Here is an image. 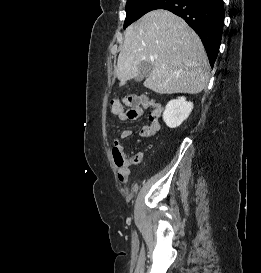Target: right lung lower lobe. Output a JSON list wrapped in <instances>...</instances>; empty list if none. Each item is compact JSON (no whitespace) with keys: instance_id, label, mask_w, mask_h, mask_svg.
Masks as SVG:
<instances>
[{"instance_id":"1","label":"right lung lower lobe","mask_w":261,"mask_h":273,"mask_svg":"<svg viewBox=\"0 0 261 273\" xmlns=\"http://www.w3.org/2000/svg\"><path fill=\"white\" fill-rule=\"evenodd\" d=\"M149 9L169 10L183 18L201 38L210 65H214L223 30V0H155Z\"/></svg>"}]
</instances>
